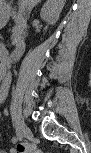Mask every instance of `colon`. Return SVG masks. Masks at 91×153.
<instances>
[{
    "mask_svg": "<svg viewBox=\"0 0 91 153\" xmlns=\"http://www.w3.org/2000/svg\"><path fill=\"white\" fill-rule=\"evenodd\" d=\"M16 153H38V149L34 144H18L16 147Z\"/></svg>",
    "mask_w": 91,
    "mask_h": 153,
    "instance_id": "colon-1",
    "label": "colon"
}]
</instances>
